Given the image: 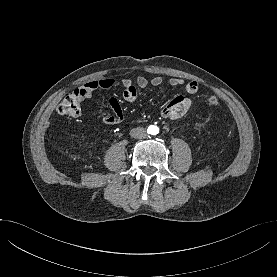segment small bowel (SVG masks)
<instances>
[{
  "instance_id": "c3829d8e",
  "label": "small bowel",
  "mask_w": 277,
  "mask_h": 277,
  "mask_svg": "<svg viewBox=\"0 0 277 277\" xmlns=\"http://www.w3.org/2000/svg\"><path fill=\"white\" fill-rule=\"evenodd\" d=\"M115 80L110 77L93 80L83 85L78 91L83 94V98H89L97 89H110L114 86ZM163 84L160 76H153L150 79L144 76H138L133 82L131 79L122 80V97L127 102H134L137 98V89H145L149 86L159 87ZM169 84L174 87H182L185 94L177 95L168 102L161 111V116L166 120H177L183 117L191 107V99L188 95L195 94L198 91V84L193 80H183L181 78H171ZM109 106L112 114H98L97 119L104 124L115 125L123 120V111L119 101L112 97L109 99Z\"/></svg>"
}]
</instances>
